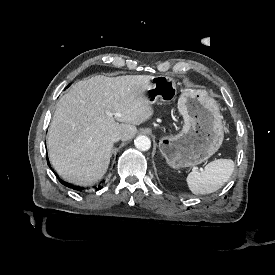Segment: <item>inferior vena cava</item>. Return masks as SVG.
Here are the masks:
<instances>
[{
  "instance_id": "obj_1",
  "label": "inferior vena cava",
  "mask_w": 275,
  "mask_h": 275,
  "mask_svg": "<svg viewBox=\"0 0 275 275\" xmlns=\"http://www.w3.org/2000/svg\"><path fill=\"white\" fill-rule=\"evenodd\" d=\"M123 137V134L119 131H116L112 134L111 136V140L112 142H118L119 140H121Z\"/></svg>"
}]
</instances>
